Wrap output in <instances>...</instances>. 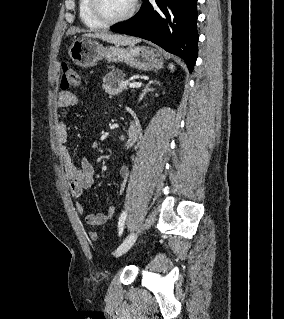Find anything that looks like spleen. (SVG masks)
<instances>
[{"instance_id": "spleen-1", "label": "spleen", "mask_w": 284, "mask_h": 319, "mask_svg": "<svg viewBox=\"0 0 284 319\" xmlns=\"http://www.w3.org/2000/svg\"><path fill=\"white\" fill-rule=\"evenodd\" d=\"M169 69H170L171 71H174L175 67H174V65H173L172 63L169 64Z\"/></svg>"}]
</instances>
